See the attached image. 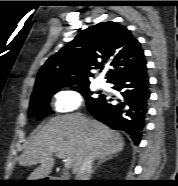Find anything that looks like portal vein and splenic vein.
<instances>
[{
    "label": "portal vein and splenic vein",
    "mask_w": 178,
    "mask_h": 186,
    "mask_svg": "<svg viewBox=\"0 0 178 186\" xmlns=\"http://www.w3.org/2000/svg\"><path fill=\"white\" fill-rule=\"evenodd\" d=\"M55 156L58 157V158H60V159H63L64 164H65V168L67 170L71 168L72 162H71V159L69 157H67L63 153H55Z\"/></svg>",
    "instance_id": "18ae733b"
}]
</instances>
